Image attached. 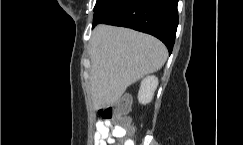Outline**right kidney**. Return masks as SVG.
<instances>
[{
	"label": "right kidney",
	"instance_id": "ca27d5eb",
	"mask_svg": "<svg viewBox=\"0 0 243 145\" xmlns=\"http://www.w3.org/2000/svg\"><path fill=\"white\" fill-rule=\"evenodd\" d=\"M158 86V78L155 76H147L141 81L138 92V100L141 104H148L151 102L154 92Z\"/></svg>",
	"mask_w": 243,
	"mask_h": 145
}]
</instances>
